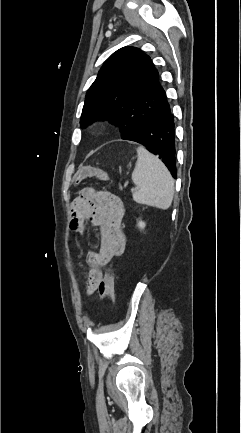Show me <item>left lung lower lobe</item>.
<instances>
[{
  "mask_svg": "<svg viewBox=\"0 0 241 433\" xmlns=\"http://www.w3.org/2000/svg\"><path fill=\"white\" fill-rule=\"evenodd\" d=\"M125 140L144 145L165 163L172 176L176 178L174 115L166 97L149 120Z\"/></svg>",
  "mask_w": 241,
  "mask_h": 433,
  "instance_id": "1",
  "label": "left lung lower lobe"
}]
</instances>
